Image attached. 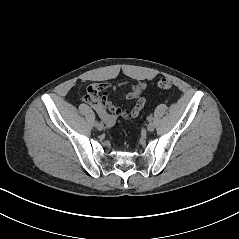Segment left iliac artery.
Listing matches in <instances>:
<instances>
[{"instance_id": "1", "label": "left iliac artery", "mask_w": 239, "mask_h": 239, "mask_svg": "<svg viewBox=\"0 0 239 239\" xmlns=\"http://www.w3.org/2000/svg\"><path fill=\"white\" fill-rule=\"evenodd\" d=\"M152 119H153L152 116L147 117L148 121H152Z\"/></svg>"}]
</instances>
